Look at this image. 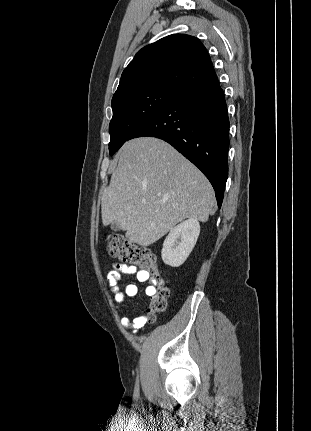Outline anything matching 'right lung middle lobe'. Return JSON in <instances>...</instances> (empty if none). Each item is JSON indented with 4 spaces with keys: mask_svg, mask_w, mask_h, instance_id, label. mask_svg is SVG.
<instances>
[{
    "mask_svg": "<svg viewBox=\"0 0 311 431\" xmlns=\"http://www.w3.org/2000/svg\"><path fill=\"white\" fill-rule=\"evenodd\" d=\"M180 95L159 89H139L112 98L113 117L109 125L112 156L132 132Z\"/></svg>",
    "mask_w": 311,
    "mask_h": 431,
    "instance_id": "1",
    "label": "right lung middle lobe"
}]
</instances>
